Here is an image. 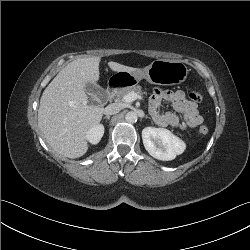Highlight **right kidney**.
I'll list each match as a JSON object with an SVG mask.
<instances>
[{"instance_id": "1", "label": "right kidney", "mask_w": 250, "mask_h": 250, "mask_svg": "<svg viewBox=\"0 0 250 250\" xmlns=\"http://www.w3.org/2000/svg\"><path fill=\"white\" fill-rule=\"evenodd\" d=\"M104 134V127L102 125L93 126L86 135L87 140L91 144H97Z\"/></svg>"}]
</instances>
